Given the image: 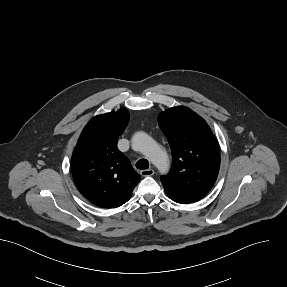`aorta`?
<instances>
[{"label": "aorta", "instance_id": "762f6f07", "mask_svg": "<svg viewBox=\"0 0 287 287\" xmlns=\"http://www.w3.org/2000/svg\"><path fill=\"white\" fill-rule=\"evenodd\" d=\"M132 146L142 152L160 173L168 171L169 158L166 151L148 134L137 132L132 138Z\"/></svg>", "mask_w": 287, "mask_h": 287}]
</instances>
